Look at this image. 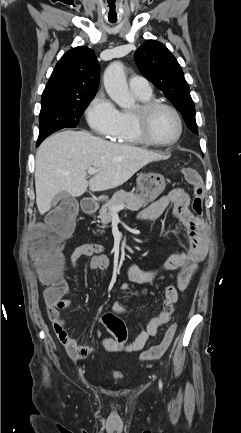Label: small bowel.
<instances>
[{"mask_svg": "<svg viewBox=\"0 0 241 433\" xmlns=\"http://www.w3.org/2000/svg\"><path fill=\"white\" fill-rule=\"evenodd\" d=\"M190 204L191 198L188 192L182 188H176L139 213L140 219L152 220L160 217L172 205L174 217L187 231L189 248L187 251L173 253L162 265L150 270L142 269L136 263H131L127 268L128 280L119 286L116 298L112 304L114 312L125 313L130 309V304L121 302V296L131 288L133 283H148L163 270H180V274L186 273L190 278L196 272L198 265L206 257L208 245L205 224L189 210ZM84 257L90 258L88 265L90 271H105L109 267L108 257L95 254L92 244L87 243L77 247L71 254L70 261L74 267H77L80 260ZM180 292L182 290L179 286L169 285L166 287L162 310L149 320L146 328L136 338L127 342L123 352L133 353L142 350L146 342L157 334L159 328L170 321ZM67 293L68 286L65 283L63 296L53 304L48 303V316L58 339L65 347L69 356L74 360H82L94 354L95 349L80 345L68 332L65 321L60 315V310L67 308L71 304L69 298H64ZM100 321L102 323V318ZM97 337L105 350L116 352L113 347L114 337L102 336L100 332H97Z\"/></svg>", "mask_w": 241, "mask_h": 433, "instance_id": "1", "label": "small bowel"}]
</instances>
